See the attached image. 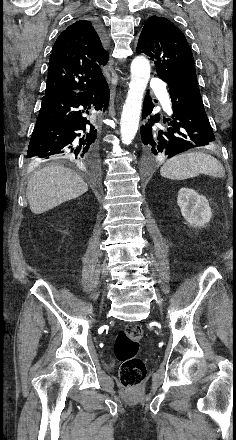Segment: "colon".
<instances>
[{
    "instance_id": "obj_1",
    "label": "colon",
    "mask_w": 236,
    "mask_h": 440,
    "mask_svg": "<svg viewBox=\"0 0 236 440\" xmlns=\"http://www.w3.org/2000/svg\"><path fill=\"white\" fill-rule=\"evenodd\" d=\"M142 337V328L131 323L118 333L115 340L114 353L121 363L120 380L127 389L140 386L146 378L145 363L138 356Z\"/></svg>"
}]
</instances>
